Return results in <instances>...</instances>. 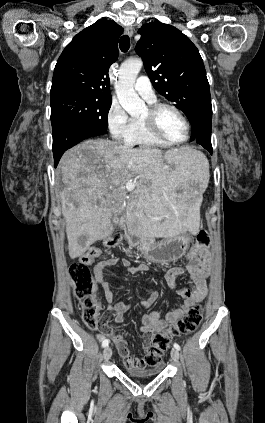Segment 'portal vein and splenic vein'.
<instances>
[{
  "label": "portal vein and splenic vein",
  "instance_id": "obj_1",
  "mask_svg": "<svg viewBox=\"0 0 265 423\" xmlns=\"http://www.w3.org/2000/svg\"><path fill=\"white\" fill-rule=\"evenodd\" d=\"M136 187V182H127L125 188L127 191H132Z\"/></svg>",
  "mask_w": 265,
  "mask_h": 423
}]
</instances>
